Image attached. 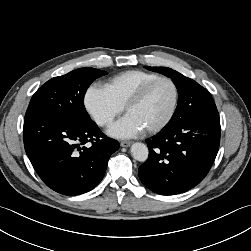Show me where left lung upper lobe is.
Returning a JSON list of instances; mask_svg holds the SVG:
<instances>
[{
  "label": "left lung upper lobe",
  "instance_id": "obj_1",
  "mask_svg": "<svg viewBox=\"0 0 251 251\" xmlns=\"http://www.w3.org/2000/svg\"><path fill=\"white\" fill-rule=\"evenodd\" d=\"M145 68L154 72L164 74L165 76L171 78L175 86L177 87L178 94H179L178 105H177L174 115L172 116L170 122L166 126V127H169L173 125V123H175L180 118L181 114L179 112H180V108L182 107V102L187 101V98L191 97L192 94L195 93L196 91L204 90L205 88L200 86L194 80L183 76L182 74H180L179 72L171 68L149 67V66H145Z\"/></svg>",
  "mask_w": 251,
  "mask_h": 251
}]
</instances>
